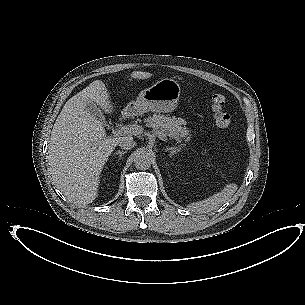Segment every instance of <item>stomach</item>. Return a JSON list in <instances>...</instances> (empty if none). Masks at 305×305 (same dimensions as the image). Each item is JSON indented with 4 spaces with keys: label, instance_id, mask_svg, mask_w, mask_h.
<instances>
[{
    "label": "stomach",
    "instance_id": "0dacf381",
    "mask_svg": "<svg viewBox=\"0 0 305 305\" xmlns=\"http://www.w3.org/2000/svg\"><path fill=\"white\" fill-rule=\"evenodd\" d=\"M182 93V86L177 80L163 77L142 91L136 102L126 107V111L132 113L151 111L158 116L169 114L176 109Z\"/></svg>",
    "mask_w": 305,
    "mask_h": 305
}]
</instances>
